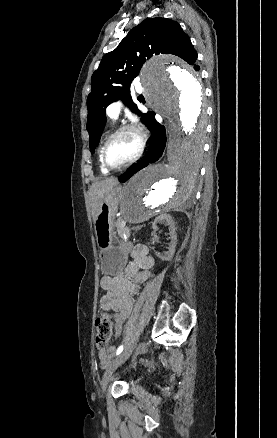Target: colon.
Here are the masks:
<instances>
[{"label": "colon", "instance_id": "colon-1", "mask_svg": "<svg viewBox=\"0 0 277 438\" xmlns=\"http://www.w3.org/2000/svg\"><path fill=\"white\" fill-rule=\"evenodd\" d=\"M113 334L114 321L111 314L106 313L95 320V340L100 348L104 349L109 346Z\"/></svg>", "mask_w": 277, "mask_h": 438}]
</instances>
